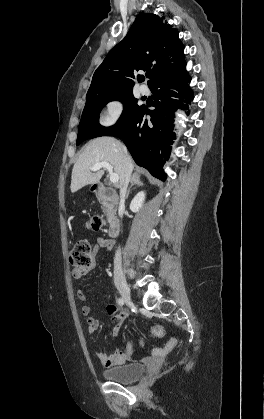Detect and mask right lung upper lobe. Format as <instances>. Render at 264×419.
Instances as JSON below:
<instances>
[{
  "label": "right lung upper lobe",
  "mask_w": 264,
  "mask_h": 419,
  "mask_svg": "<svg viewBox=\"0 0 264 419\" xmlns=\"http://www.w3.org/2000/svg\"><path fill=\"white\" fill-rule=\"evenodd\" d=\"M183 44L178 31L158 15H139L126 37L118 43L96 69L87 97L133 89L134 70L151 74L149 87L157 80L185 72ZM144 80L138 75V81Z\"/></svg>",
  "instance_id": "right-lung-upper-lobe-1"
}]
</instances>
